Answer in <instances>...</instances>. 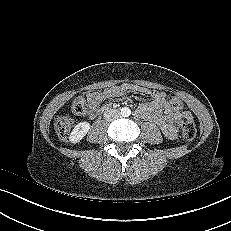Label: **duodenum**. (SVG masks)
<instances>
[{
    "label": "duodenum",
    "mask_w": 231,
    "mask_h": 231,
    "mask_svg": "<svg viewBox=\"0 0 231 231\" xmlns=\"http://www.w3.org/2000/svg\"><path fill=\"white\" fill-rule=\"evenodd\" d=\"M108 109H109V107H105V108H104V110H108Z\"/></svg>",
    "instance_id": "obj_1"
}]
</instances>
